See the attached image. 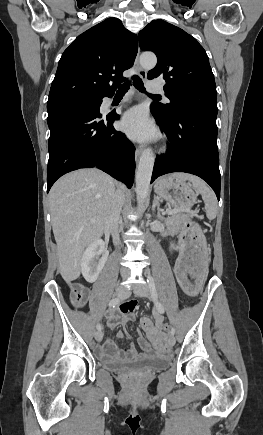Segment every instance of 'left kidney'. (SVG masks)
I'll return each mask as SVG.
<instances>
[{"mask_svg": "<svg viewBox=\"0 0 263 435\" xmlns=\"http://www.w3.org/2000/svg\"><path fill=\"white\" fill-rule=\"evenodd\" d=\"M171 247H172V248H175V246H174V244H173V243H171Z\"/></svg>", "mask_w": 263, "mask_h": 435, "instance_id": "obj_1", "label": "left kidney"}]
</instances>
